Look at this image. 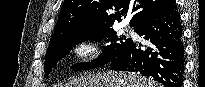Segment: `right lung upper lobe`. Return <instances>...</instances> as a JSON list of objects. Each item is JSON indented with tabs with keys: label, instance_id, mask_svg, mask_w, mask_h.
<instances>
[{
	"label": "right lung upper lobe",
	"instance_id": "cb5924a9",
	"mask_svg": "<svg viewBox=\"0 0 205 87\" xmlns=\"http://www.w3.org/2000/svg\"><path fill=\"white\" fill-rule=\"evenodd\" d=\"M172 0H65L50 43L75 32L109 28L131 11L130 26L168 6Z\"/></svg>",
	"mask_w": 205,
	"mask_h": 87
}]
</instances>
